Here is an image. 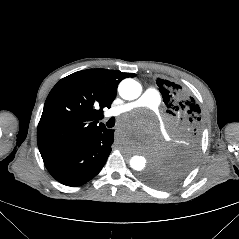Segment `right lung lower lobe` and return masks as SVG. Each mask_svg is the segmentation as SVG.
Segmentation results:
<instances>
[{"instance_id": "right-lung-lower-lobe-1", "label": "right lung lower lobe", "mask_w": 239, "mask_h": 239, "mask_svg": "<svg viewBox=\"0 0 239 239\" xmlns=\"http://www.w3.org/2000/svg\"><path fill=\"white\" fill-rule=\"evenodd\" d=\"M114 130L103 128L86 140L42 157L49 173L66 186H80L103 168L114 142Z\"/></svg>"}]
</instances>
